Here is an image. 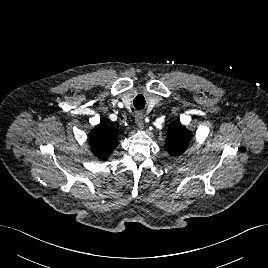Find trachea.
<instances>
[{"label":"trachea","mask_w":268,"mask_h":268,"mask_svg":"<svg viewBox=\"0 0 268 268\" xmlns=\"http://www.w3.org/2000/svg\"><path fill=\"white\" fill-rule=\"evenodd\" d=\"M136 99L137 98L134 99V107L138 110H141L143 107L140 104L136 103Z\"/></svg>","instance_id":"1"}]
</instances>
